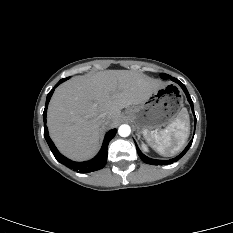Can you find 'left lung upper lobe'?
<instances>
[{"instance_id":"1","label":"left lung upper lobe","mask_w":233,"mask_h":233,"mask_svg":"<svg viewBox=\"0 0 233 233\" xmlns=\"http://www.w3.org/2000/svg\"><path fill=\"white\" fill-rule=\"evenodd\" d=\"M161 77L163 78V79H167V78H170V76L169 75H167V74H161Z\"/></svg>"}]
</instances>
